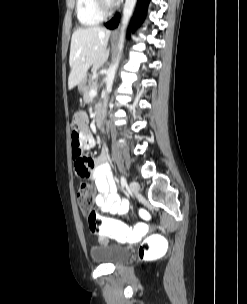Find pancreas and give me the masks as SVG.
Segmentation results:
<instances>
[{
    "label": "pancreas",
    "mask_w": 247,
    "mask_h": 304,
    "mask_svg": "<svg viewBox=\"0 0 247 304\" xmlns=\"http://www.w3.org/2000/svg\"><path fill=\"white\" fill-rule=\"evenodd\" d=\"M97 88V82H93V81H90L88 83L87 86H85L81 91H82V94H83V99L84 101H88L89 100V92L90 90L92 89H96Z\"/></svg>",
    "instance_id": "pancreas-1"
}]
</instances>
